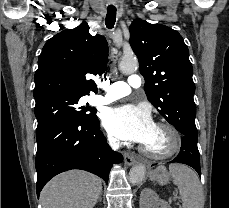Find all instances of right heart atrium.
Masks as SVG:
<instances>
[{
	"instance_id": "obj_1",
	"label": "right heart atrium",
	"mask_w": 229,
	"mask_h": 208,
	"mask_svg": "<svg viewBox=\"0 0 229 208\" xmlns=\"http://www.w3.org/2000/svg\"><path fill=\"white\" fill-rule=\"evenodd\" d=\"M108 142L112 146H117L118 145V140L114 138L113 136L109 135L108 136Z\"/></svg>"
}]
</instances>
